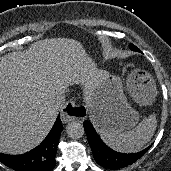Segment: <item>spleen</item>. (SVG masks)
<instances>
[{"instance_id":"1","label":"spleen","mask_w":171,"mask_h":171,"mask_svg":"<svg viewBox=\"0 0 171 171\" xmlns=\"http://www.w3.org/2000/svg\"><path fill=\"white\" fill-rule=\"evenodd\" d=\"M102 138L114 149L125 152L140 150L154 134L157 121L155 117L144 118L134 129L121 132L111 126L101 125L96 121Z\"/></svg>"}]
</instances>
